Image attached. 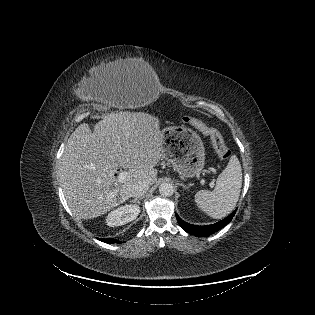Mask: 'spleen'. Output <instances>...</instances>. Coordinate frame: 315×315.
Wrapping results in <instances>:
<instances>
[{"label":"spleen","instance_id":"3e777b00","mask_svg":"<svg viewBox=\"0 0 315 315\" xmlns=\"http://www.w3.org/2000/svg\"><path fill=\"white\" fill-rule=\"evenodd\" d=\"M241 187L242 168L237 156L233 155L218 176L214 190H200L196 193V205L210 217L221 219L235 208Z\"/></svg>","mask_w":315,"mask_h":315}]
</instances>
